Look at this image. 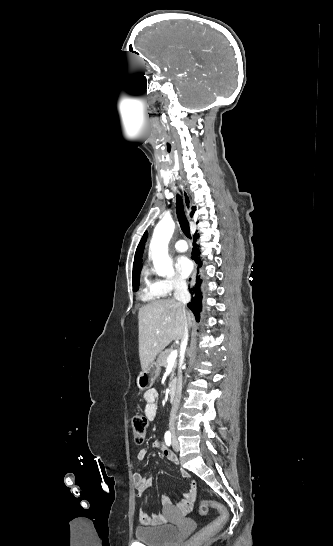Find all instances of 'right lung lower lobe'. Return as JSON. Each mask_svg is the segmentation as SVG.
<instances>
[{"instance_id":"right-lung-lower-lobe-1","label":"right lung lower lobe","mask_w":333,"mask_h":546,"mask_svg":"<svg viewBox=\"0 0 333 546\" xmlns=\"http://www.w3.org/2000/svg\"><path fill=\"white\" fill-rule=\"evenodd\" d=\"M198 235L194 236V241H196ZM197 245L194 243V247L192 249V258L197 263V270H199V267L201 266L200 259L198 257L197 252ZM200 276H197L195 287L190 289L191 294H194V297L191 299V302L188 303V307L192 310L194 313L196 319L199 318V313L201 311V300H202V293L200 291Z\"/></svg>"}]
</instances>
